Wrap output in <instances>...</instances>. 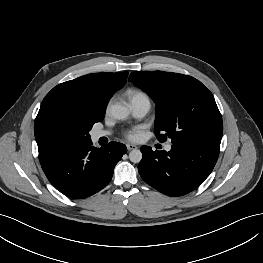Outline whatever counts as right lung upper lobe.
I'll list each match as a JSON object with an SVG mask.
<instances>
[{
	"label": "right lung upper lobe",
	"mask_w": 263,
	"mask_h": 263,
	"mask_svg": "<svg viewBox=\"0 0 263 263\" xmlns=\"http://www.w3.org/2000/svg\"><path fill=\"white\" fill-rule=\"evenodd\" d=\"M128 72L94 73L78 77L54 87L43 99L35 119L34 133L39 160L49 127L58 116L104 115L112 95L126 83Z\"/></svg>",
	"instance_id": "obj_1"
}]
</instances>
